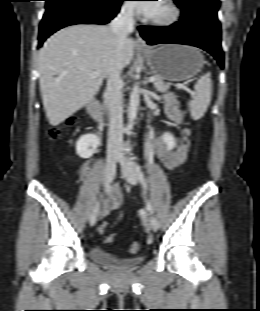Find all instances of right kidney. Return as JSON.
<instances>
[{
	"label": "right kidney",
	"instance_id": "ca27d5eb",
	"mask_svg": "<svg viewBox=\"0 0 260 311\" xmlns=\"http://www.w3.org/2000/svg\"><path fill=\"white\" fill-rule=\"evenodd\" d=\"M99 144V138L95 134H86L76 143V153L83 159L90 158Z\"/></svg>",
	"mask_w": 260,
	"mask_h": 311
}]
</instances>
